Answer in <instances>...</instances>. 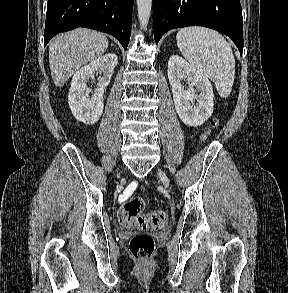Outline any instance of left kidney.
<instances>
[{
	"label": "left kidney",
	"mask_w": 288,
	"mask_h": 293,
	"mask_svg": "<svg viewBox=\"0 0 288 293\" xmlns=\"http://www.w3.org/2000/svg\"><path fill=\"white\" fill-rule=\"evenodd\" d=\"M168 79L180 119L188 126L202 125L211 116L214 107L213 89L208 78L182 57L173 55L168 61ZM184 79L196 87L198 95L184 89L181 84Z\"/></svg>",
	"instance_id": "1"
}]
</instances>
